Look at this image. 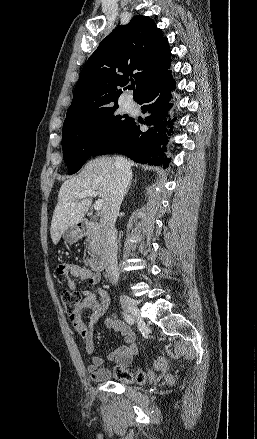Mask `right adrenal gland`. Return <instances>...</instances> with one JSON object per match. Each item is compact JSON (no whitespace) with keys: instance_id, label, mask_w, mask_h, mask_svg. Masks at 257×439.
<instances>
[{"instance_id":"right-adrenal-gland-1","label":"right adrenal gland","mask_w":257,"mask_h":439,"mask_svg":"<svg viewBox=\"0 0 257 439\" xmlns=\"http://www.w3.org/2000/svg\"><path fill=\"white\" fill-rule=\"evenodd\" d=\"M130 186H131V184H129V186H128L126 192H125L126 195H127L128 191H129V189H130Z\"/></svg>"}]
</instances>
